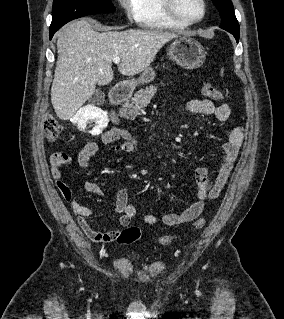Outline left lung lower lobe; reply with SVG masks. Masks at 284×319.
<instances>
[{
    "instance_id": "1",
    "label": "left lung lower lobe",
    "mask_w": 284,
    "mask_h": 319,
    "mask_svg": "<svg viewBox=\"0 0 284 319\" xmlns=\"http://www.w3.org/2000/svg\"><path fill=\"white\" fill-rule=\"evenodd\" d=\"M233 35H234L236 41L238 42L239 41V35H235V34H233Z\"/></svg>"
}]
</instances>
